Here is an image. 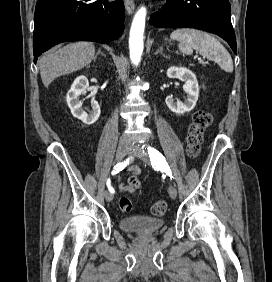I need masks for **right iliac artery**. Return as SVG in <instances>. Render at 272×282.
Masks as SVG:
<instances>
[{"instance_id": "obj_1", "label": "right iliac artery", "mask_w": 272, "mask_h": 282, "mask_svg": "<svg viewBox=\"0 0 272 282\" xmlns=\"http://www.w3.org/2000/svg\"><path fill=\"white\" fill-rule=\"evenodd\" d=\"M129 162H130V159L128 158V159H126V161H124L122 163H118L114 167L112 174H116L119 171L123 170L125 168V166H127V164H129ZM107 187H108V189L111 193L115 192L114 188L111 186L110 179H108V181H107Z\"/></svg>"}]
</instances>
